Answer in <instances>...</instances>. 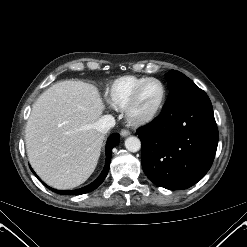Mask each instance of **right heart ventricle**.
Masks as SVG:
<instances>
[{"label": "right heart ventricle", "mask_w": 247, "mask_h": 247, "mask_svg": "<svg viewBox=\"0 0 247 247\" xmlns=\"http://www.w3.org/2000/svg\"><path fill=\"white\" fill-rule=\"evenodd\" d=\"M148 77L127 75L114 80L108 87L106 97L111 106L124 109L133 90Z\"/></svg>", "instance_id": "right-heart-ventricle-1"}]
</instances>
